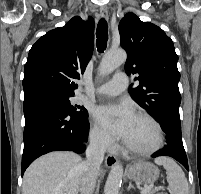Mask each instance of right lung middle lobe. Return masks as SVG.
Segmentation results:
<instances>
[{"label":"right lung middle lobe","mask_w":201,"mask_h":194,"mask_svg":"<svg viewBox=\"0 0 201 194\" xmlns=\"http://www.w3.org/2000/svg\"><path fill=\"white\" fill-rule=\"evenodd\" d=\"M48 99H51L55 102L60 103L67 111H69L72 115L76 116L79 119L87 120L88 112L84 107L81 106H72L70 104V98L72 96H62V95H46L43 96Z\"/></svg>","instance_id":"1"}]
</instances>
